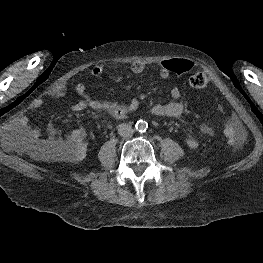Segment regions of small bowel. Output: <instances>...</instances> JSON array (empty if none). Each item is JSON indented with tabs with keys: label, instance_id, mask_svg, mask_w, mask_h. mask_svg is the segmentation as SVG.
<instances>
[{
	"label": "small bowel",
	"instance_id": "obj_1",
	"mask_svg": "<svg viewBox=\"0 0 263 263\" xmlns=\"http://www.w3.org/2000/svg\"><path fill=\"white\" fill-rule=\"evenodd\" d=\"M186 63L187 70L192 69L193 62L190 60L183 59ZM166 61L161 63L159 69V76L163 79H166L170 76V73H173L171 69L166 65ZM146 68V65L142 61H134L131 64V70L135 74L142 73ZM91 74L95 77H100L104 74V69L100 65H96L91 69ZM75 93L81 98L78 102L71 106V110L74 112H80L87 108L107 112L108 114L115 117H122L128 112L134 111L138 107V101L132 100L130 103L123 105L116 102L95 99L90 96L87 91V87L83 83H78L75 85ZM67 92V83L59 82L53 85L48 90V95L54 98L64 97ZM182 96V91L180 88L175 87L171 90L172 101L166 104H156L151 108V113L159 117H172L176 118L183 114L184 104L179 100ZM39 106L43 104V100H38ZM231 120L236 122L234 116L231 117ZM19 126L21 128V135L24 138L25 142L31 148L33 153L36 155H41L48 150H51L58 145L66 141L74 142H83L86 137V131L84 128L79 127L71 131L67 136H63L60 130L55 127L53 124H50L48 127V137H43L39 128L32 126L29 122L28 117L23 116L19 119ZM210 132L209 135L213 134V128L209 126Z\"/></svg>",
	"mask_w": 263,
	"mask_h": 263
}]
</instances>
